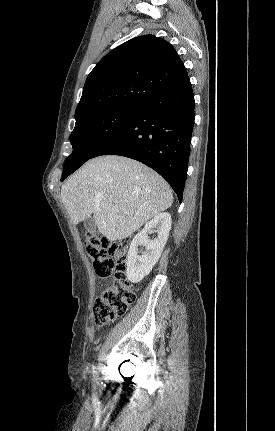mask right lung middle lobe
<instances>
[{"label": "right lung middle lobe", "mask_w": 275, "mask_h": 431, "mask_svg": "<svg viewBox=\"0 0 275 431\" xmlns=\"http://www.w3.org/2000/svg\"><path fill=\"white\" fill-rule=\"evenodd\" d=\"M139 107H113L92 112L76 120L70 135L73 152L66 159L61 181L72 174L95 152L118 134Z\"/></svg>", "instance_id": "right-lung-middle-lobe-1"}]
</instances>
